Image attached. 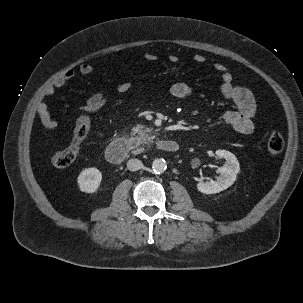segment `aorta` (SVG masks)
<instances>
[{
    "label": "aorta",
    "mask_w": 303,
    "mask_h": 303,
    "mask_svg": "<svg viewBox=\"0 0 303 303\" xmlns=\"http://www.w3.org/2000/svg\"><path fill=\"white\" fill-rule=\"evenodd\" d=\"M167 168V163L163 158H157L152 163V169L155 173H163Z\"/></svg>",
    "instance_id": "obj_1"
}]
</instances>
